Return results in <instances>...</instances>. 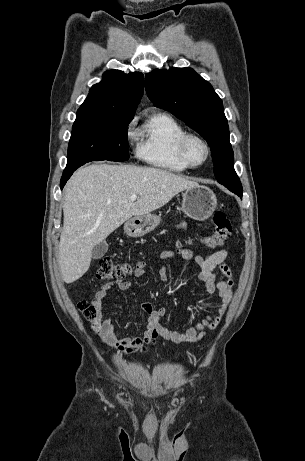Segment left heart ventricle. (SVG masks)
Returning <instances> with one entry per match:
<instances>
[{"mask_svg": "<svg viewBox=\"0 0 305 461\" xmlns=\"http://www.w3.org/2000/svg\"><path fill=\"white\" fill-rule=\"evenodd\" d=\"M187 151L191 161L194 163L202 162L206 156L204 146L197 140H191L189 142Z\"/></svg>", "mask_w": 305, "mask_h": 461, "instance_id": "left-heart-ventricle-1", "label": "left heart ventricle"}]
</instances>
